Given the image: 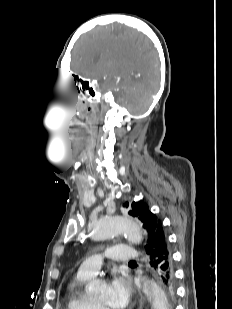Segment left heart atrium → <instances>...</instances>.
I'll use <instances>...</instances> for the list:
<instances>
[{"label":"left heart atrium","instance_id":"obj_1","mask_svg":"<svg viewBox=\"0 0 232 309\" xmlns=\"http://www.w3.org/2000/svg\"><path fill=\"white\" fill-rule=\"evenodd\" d=\"M111 304L114 309H124L131 302L133 291L130 284L122 277L116 276L110 283Z\"/></svg>","mask_w":232,"mask_h":309}]
</instances>
